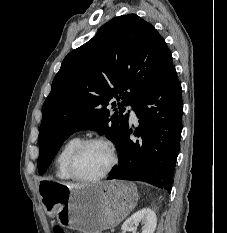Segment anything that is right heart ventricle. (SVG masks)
I'll return each mask as SVG.
<instances>
[{
    "label": "right heart ventricle",
    "instance_id": "1",
    "mask_svg": "<svg viewBox=\"0 0 227 233\" xmlns=\"http://www.w3.org/2000/svg\"><path fill=\"white\" fill-rule=\"evenodd\" d=\"M80 141V138L78 137H72L68 139L60 148L56 159H55V169H56V175L61 180H71V176L68 173L67 170V158L70 153V151L73 149V147Z\"/></svg>",
    "mask_w": 227,
    "mask_h": 233
}]
</instances>
